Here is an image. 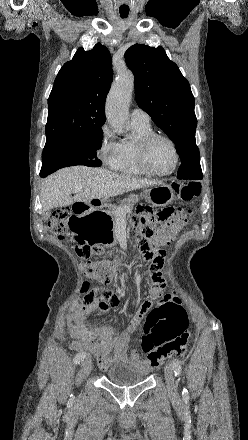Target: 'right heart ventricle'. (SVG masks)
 <instances>
[{"label": "right heart ventricle", "instance_id": "right-heart-ventricle-1", "mask_svg": "<svg viewBox=\"0 0 248 440\" xmlns=\"http://www.w3.org/2000/svg\"><path fill=\"white\" fill-rule=\"evenodd\" d=\"M135 132L134 139L120 143L118 162L114 170L118 173L132 176H142L145 173L137 161V145L141 138L153 133L150 125L132 123Z\"/></svg>", "mask_w": 248, "mask_h": 440}]
</instances>
